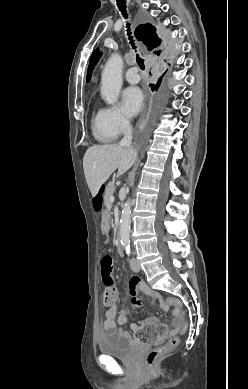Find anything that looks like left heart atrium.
Returning a JSON list of instances; mask_svg holds the SVG:
<instances>
[{"label": "left heart atrium", "mask_w": 248, "mask_h": 389, "mask_svg": "<svg viewBox=\"0 0 248 389\" xmlns=\"http://www.w3.org/2000/svg\"><path fill=\"white\" fill-rule=\"evenodd\" d=\"M123 108L129 115H136L143 104V95L140 89L129 87L122 93Z\"/></svg>", "instance_id": "left-heart-atrium-1"}]
</instances>
